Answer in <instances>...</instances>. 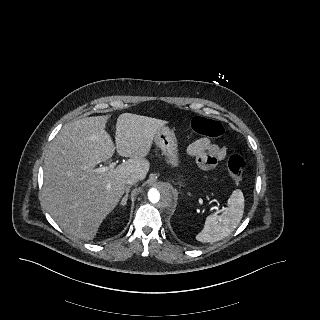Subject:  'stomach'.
<instances>
[{
    "mask_svg": "<svg viewBox=\"0 0 320 320\" xmlns=\"http://www.w3.org/2000/svg\"><path fill=\"white\" fill-rule=\"evenodd\" d=\"M154 142L162 150L163 155L171 167L179 166L178 142L173 130L166 126L160 127L155 136ZM182 185V182H180Z\"/></svg>",
    "mask_w": 320,
    "mask_h": 320,
    "instance_id": "1",
    "label": "stomach"
}]
</instances>
